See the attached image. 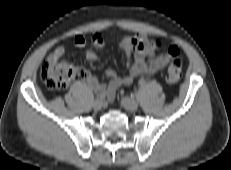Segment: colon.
<instances>
[{
    "instance_id": "5ec220e1",
    "label": "colon",
    "mask_w": 231,
    "mask_h": 170,
    "mask_svg": "<svg viewBox=\"0 0 231 170\" xmlns=\"http://www.w3.org/2000/svg\"><path fill=\"white\" fill-rule=\"evenodd\" d=\"M154 46L160 48L163 43L157 41ZM179 53L177 46H171L168 49V55L172 61L167 69L166 80L170 84L178 83L182 77ZM86 77V70L65 62L50 63L45 61L40 68V78L50 91L65 89L72 81L85 80Z\"/></svg>"
}]
</instances>
